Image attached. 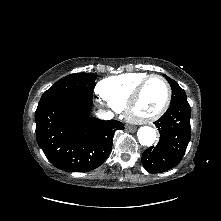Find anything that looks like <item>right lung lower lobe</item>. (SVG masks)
<instances>
[{"label": "right lung lower lobe", "mask_w": 221, "mask_h": 221, "mask_svg": "<svg viewBox=\"0 0 221 221\" xmlns=\"http://www.w3.org/2000/svg\"><path fill=\"white\" fill-rule=\"evenodd\" d=\"M91 105L92 100L62 97L37 107V143L55 167L85 172L110 154L114 132L124 125L89 117Z\"/></svg>", "instance_id": "right-lung-lower-lobe-1"}]
</instances>
